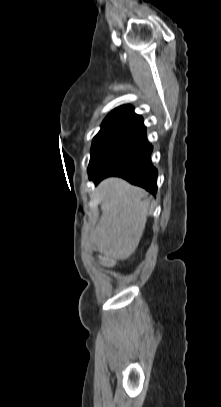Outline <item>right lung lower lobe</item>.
I'll use <instances>...</instances> for the list:
<instances>
[{
	"label": "right lung lower lobe",
	"instance_id": "right-lung-lower-lobe-1",
	"mask_svg": "<svg viewBox=\"0 0 221 407\" xmlns=\"http://www.w3.org/2000/svg\"><path fill=\"white\" fill-rule=\"evenodd\" d=\"M152 150L146 138V127H142L90 179L98 184L108 176H119L154 195L157 192L158 173L151 162Z\"/></svg>",
	"mask_w": 221,
	"mask_h": 407
}]
</instances>
